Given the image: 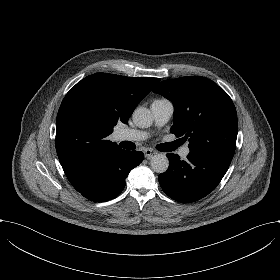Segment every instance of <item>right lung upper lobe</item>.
Masks as SVG:
<instances>
[{
  "mask_svg": "<svg viewBox=\"0 0 280 280\" xmlns=\"http://www.w3.org/2000/svg\"><path fill=\"white\" fill-rule=\"evenodd\" d=\"M159 81L96 73L66 94L57 114L55 146L69 181L94 158L121 149L106 137L118 122H128L138 103Z\"/></svg>",
  "mask_w": 280,
  "mask_h": 280,
  "instance_id": "cb5924a9",
  "label": "right lung upper lobe"
}]
</instances>
